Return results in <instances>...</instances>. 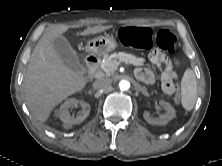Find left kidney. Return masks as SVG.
<instances>
[{
	"label": "left kidney",
	"mask_w": 222,
	"mask_h": 166,
	"mask_svg": "<svg viewBox=\"0 0 222 166\" xmlns=\"http://www.w3.org/2000/svg\"><path fill=\"white\" fill-rule=\"evenodd\" d=\"M159 104L163 107L165 113L161 114L158 118H152L148 112H144L143 117L147 123L152 125H166L175 118L176 112L171 104L163 100L159 101Z\"/></svg>",
	"instance_id": "left-kidney-1"
}]
</instances>
